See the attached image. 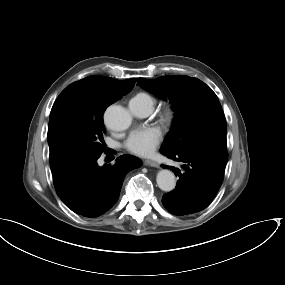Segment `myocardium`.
<instances>
[{"instance_id": "myocardium-1", "label": "myocardium", "mask_w": 285, "mask_h": 285, "mask_svg": "<svg viewBox=\"0 0 285 285\" xmlns=\"http://www.w3.org/2000/svg\"><path fill=\"white\" fill-rule=\"evenodd\" d=\"M174 114L171 109H166L163 114V120L170 123L173 120Z\"/></svg>"}]
</instances>
